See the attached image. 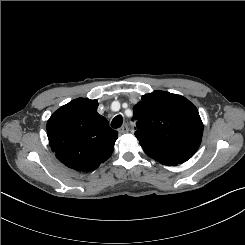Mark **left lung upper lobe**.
I'll use <instances>...</instances> for the list:
<instances>
[{"label":"left lung upper lobe","mask_w":245,"mask_h":245,"mask_svg":"<svg viewBox=\"0 0 245 245\" xmlns=\"http://www.w3.org/2000/svg\"><path fill=\"white\" fill-rule=\"evenodd\" d=\"M133 109L140 144L188 159L199 148L203 123L197 108L185 97L154 91L143 95Z\"/></svg>","instance_id":"left-lung-upper-lobe-1"}]
</instances>
